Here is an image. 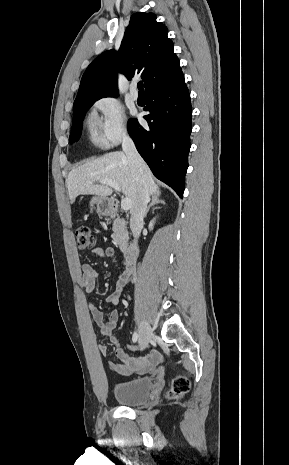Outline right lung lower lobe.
Returning <instances> with one entry per match:
<instances>
[{
	"instance_id": "obj_1",
	"label": "right lung lower lobe",
	"mask_w": 289,
	"mask_h": 465,
	"mask_svg": "<svg viewBox=\"0 0 289 465\" xmlns=\"http://www.w3.org/2000/svg\"><path fill=\"white\" fill-rule=\"evenodd\" d=\"M144 116L148 127L137 119L128 131L142 158L153 174L183 197L184 178L188 168L192 107L184 77L146 93Z\"/></svg>"
}]
</instances>
